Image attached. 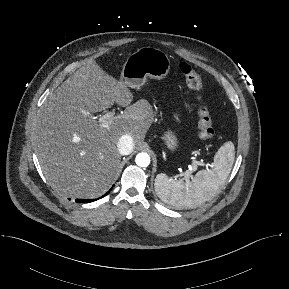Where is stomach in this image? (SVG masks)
<instances>
[{"label": "stomach", "instance_id": "0dacf381", "mask_svg": "<svg viewBox=\"0 0 289 289\" xmlns=\"http://www.w3.org/2000/svg\"><path fill=\"white\" fill-rule=\"evenodd\" d=\"M169 71L170 59L165 52L154 47H142L128 56L122 68L120 82L130 88H139L147 77L161 80ZM162 139L170 151L178 149L179 140L174 131L168 129Z\"/></svg>", "mask_w": 289, "mask_h": 289}]
</instances>
